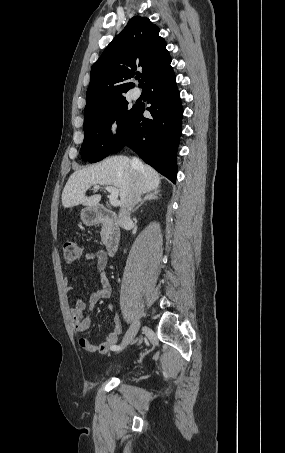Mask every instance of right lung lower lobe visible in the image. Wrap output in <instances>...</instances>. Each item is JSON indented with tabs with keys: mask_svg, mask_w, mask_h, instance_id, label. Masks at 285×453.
Segmentation results:
<instances>
[{
	"mask_svg": "<svg viewBox=\"0 0 285 453\" xmlns=\"http://www.w3.org/2000/svg\"><path fill=\"white\" fill-rule=\"evenodd\" d=\"M144 87L148 91L151 106L147 110L152 118H144L145 107L138 105L124 138L112 153L127 145L147 164L176 183V152L183 109L172 67L150 78Z\"/></svg>",
	"mask_w": 285,
	"mask_h": 453,
	"instance_id": "1",
	"label": "right lung lower lobe"
}]
</instances>
